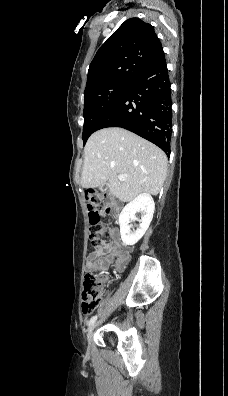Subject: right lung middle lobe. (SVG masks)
I'll use <instances>...</instances> for the list:
<instances>
[{"mask_svg": "<svg viewBox=\"0 0 228 396\" xmlns=\"http://www.w3.org/2000/svg\"><path fill=\"white\" fill-rule=\"evenodd\" d=\"M129 86L130 83L128 82H115L84 93V126L82 136L84 143L97 130L100 121L118 103Z\"/></svg>", "mask_w": 228, "mask_h": 396, "instance_id": "obj_1", "label": "right lung middle lobe"}]
</instances>
